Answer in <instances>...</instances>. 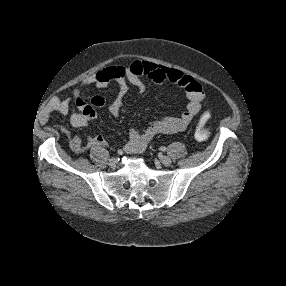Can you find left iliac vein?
Returning a JSON list of instances; mask_svg holds the SVG:
<instances>
[{"mask_svg": "<svg viewBox=\"0 0 286 286\" xmlns=\"http://www.w3.org/2000/svg\"><path fill=\"white\" fill-rule=\"evenodd\" d=\"M161 162L166 165V166H169L171 163H172V160L170 157L168 156H163L161 157Z\"/></svg>", "mask_w": 286, "mask_h": 286, "instance_id": "obj_1", "label": "left iliac vein"}]
</instances>
